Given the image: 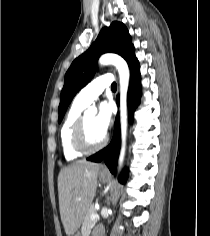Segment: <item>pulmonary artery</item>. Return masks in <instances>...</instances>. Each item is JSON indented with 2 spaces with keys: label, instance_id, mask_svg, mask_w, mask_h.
Returning a JSON list of instances; mask_svg holds the SVG:
<instances>
[{
  "label": "pulmonary artery",
  "instance_id": "e3ab8cb5",
  "mask_svg": "<svg viewBox=\"0 0 210 236\" xmlns=\"http://www.w3.org/2000/svg\"><path fill=\"white\" fill-rule=\"evenodd\" d=\"M112 82L113 77L110 74L98 77L77 94L75 101L85 107L88 106L106 87L110 86Z\"/></svg>",
  "mask_w": 210,
  "mask_h": 236
}]
</instances>
